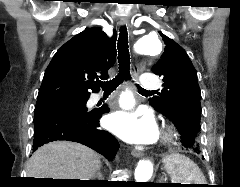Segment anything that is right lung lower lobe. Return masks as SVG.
<instances>
[{
	"mask_svg": "<svg viewBox=\"0 0 240 187\" xmlns=\"http://www.w3.org/2000/svg\"><path fill=\"white\" fill-rule=\"evenodd\" d=\"M107 107L82 114L68 113L53 108L34 118L33 148L55 140H69L86 145L112 161L119 149L117 140L107 131L99 129V119Z\"/></svg>",
	"mask_w": 240,
	"mask_h": 187,
	"instance_id": "1",
	"label": "right lung lower lobe"
}]
</instances>
